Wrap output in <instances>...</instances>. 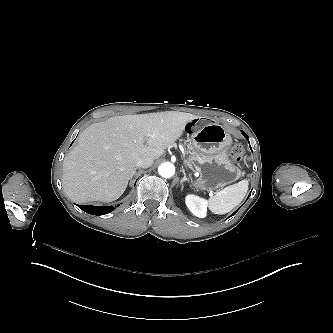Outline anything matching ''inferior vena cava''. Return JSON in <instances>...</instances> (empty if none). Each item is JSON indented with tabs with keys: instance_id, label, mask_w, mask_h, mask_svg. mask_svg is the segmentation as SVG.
Returning <instances> with one entry per match:
<instances>
[{
	"instance_id": "obj_1",
	"label": "inferior vena cava",
	"mask_w": 333,
	"mask_h": 333,
	"mask_svg": "<svg viewBox=\"0 0 333 333\" xmlns=\"http://www.w3.org/2000/svg\"><path fill=\"white\" fill-rule=\"evenodd\" d=\"M153 161H154V159L151 157L140 158L137 161L136 166L142 167V168H148L153 164Z\"/></svg>"
}]
</instances>
